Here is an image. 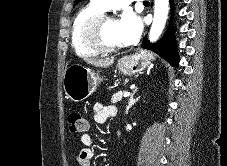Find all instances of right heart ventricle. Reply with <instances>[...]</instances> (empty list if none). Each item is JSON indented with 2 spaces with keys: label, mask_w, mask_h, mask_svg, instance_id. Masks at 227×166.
I'll return each instance as SVG.
<instances>
[{
  "label": "right heart ventricle",
  "mask_w": 227,
  "mask_h": 166,
  "mask_svg": "<svg viewBox=\"0 0 227 166\" xmlns=\"http://www.w3.org/2000/svg\"><path fill=\"white\" fill-rule=\"evenodd\" d=\"M101 9L94 1H90L82 7L74 16L71 26V46L78 56L91 57L97 55L98 52L88 47L81 38V28L85 21L96 14L102 13Z\"/></svg>",
  "instance_id": "obj_1"
}]
</instances>
